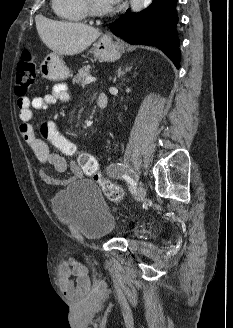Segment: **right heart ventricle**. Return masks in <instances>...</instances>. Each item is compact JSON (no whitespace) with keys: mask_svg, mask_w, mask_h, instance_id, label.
<instances>
[{"mask_svg":"<svg viewBox=\"0 0 233 328\" xmlns=\"http://www.w3.org/2000/svg\"><path fill=\"white\" fill-rule=\"evenodd\" d=\"M55 13L66 20L81 21L87 16L84 0H52Z\"/></svg>","mask_w":233,"mask_h":328,"instance_id":"right-heart-ventricle-1","label":"right heart ventricle"}]
</instances>
